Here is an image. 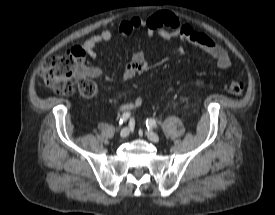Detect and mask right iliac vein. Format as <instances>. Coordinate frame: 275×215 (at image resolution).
<instances>
[{"label":"right iliac vein","mask_w":275,"mask_h":215,"mask_svg":"<svg viewBox=\"0 0 275 215\" xmlns=\"http://www.w3.org/2000/svg\"><path fill=\"white\" fill-rule=\"evenodd\" d=\"M128 135H129V129L123 128L120 132V137L124 139V138L128 137Z\"/></svg>","instance_id":"63e3f726"}]
</instances>
